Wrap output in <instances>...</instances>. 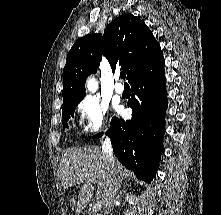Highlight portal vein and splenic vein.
<instances>
[{
    "label": "portal vein and splenic vein",
    "mask_w": 221,
    "mask_h": 215,
    "mask_svg": "<svg viewBox=\"0 0 221 215\" xmlns=\"http://www.w3.org/2000/svg\"><path fill=\"white\" fill-rule=\"evenodd\" d=\"M102 206V202L101 201H97L94 205H93V209L98 210L100 209Z\"/></svg>",
    "instance_id": "obj_1"
}]
</instances>
